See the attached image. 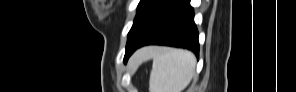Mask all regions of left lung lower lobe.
Returning a JSON list of instances; mask_svg holds the SVG:
<instances>
[{
  "label": "left lung lower lobe",
  "mask_w": 296,
  "mask_h": 92,
  "mask_svg": "<svg viewBox=\"0 0 296 92\" xmlns=\"http://www.w3.org/2000/svg\"><path fill=\"white\" fill-rule=\"evenodd\" d=\"M150 44L187 48L199 56L198 31L190 0H170L147 35L125 53L124 61L137 48Z\"/></svg>",
  "instance_id": "0a47b994"
}]
</instances>
